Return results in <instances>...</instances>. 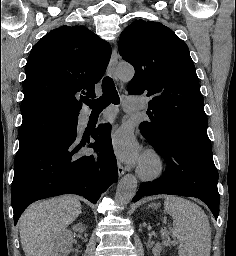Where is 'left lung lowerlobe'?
Instances as JSON below:
<instances>
[{
  "instance_id": "obj_1",
  "label": "left lung lower lobe",
  "mask_w": 236,
  "mask_h": 256,
  "mask_svg": "<svg viewBox=\"0 0 236 256\" xmlns=\"http://www.w3.org/2000/svg\"><path fill=\"white\" fill-rule=\"evenodd\" d=\"M167 164L162 178L141 184L133 198L169 194L196 197L208 205L214 217L219 215L218 172L211 145L194 140L169 138L162 147L151 144Z\"/></svg>"
}]
</instances>
